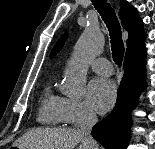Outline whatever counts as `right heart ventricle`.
Masks as SVG:
<instances>
[{"mask_svg": "<svg viewBox=\"0 0 155 149\" xmlns=\"http://www.w3.org/2000/svg\"><path fill=\"white\" fill-rule=\"evenodd\" d=\"M38 120L43 124L64 123V98L55 94L51 86L44 90L38 112Z\"/></svg>", "mask_w": 155, "mask_h": 149, "instance_id": "e07e8e85", "label": "right heart ventricle"}]
</instances>
